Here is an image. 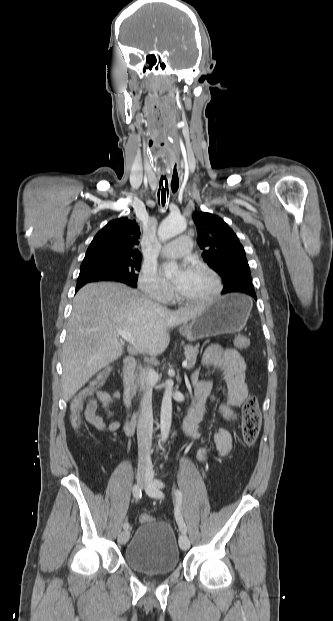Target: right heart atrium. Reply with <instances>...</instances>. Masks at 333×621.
Segmentation results:
<instances>
[{
	"label": "right heart atrium",
	"mask_w": 333,
	"mask_h": 621,
	"mask_svg": "<svg viewBox=\"0 0 333 621\" xmlns=\"http://www.w3.org/2000/svg\"><path fill=\"white\" fill-rule=\"evenodd\" d=\"M140 290L151 299L167 303L172 298V290L151 267H144L138 280Z\"/></svg>",
	"instance_id": "obj_1"
}]
</instances>
